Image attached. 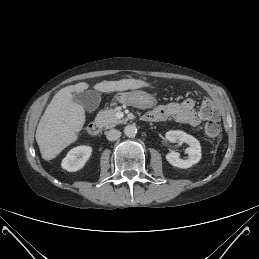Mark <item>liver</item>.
Masks as SVG:
<instances>
[{
  "mask_svg": "<svg viewBox=\"0 0 259 259\" xmlns=\"http://www.w3.org/2000/svg\"><path fill=\"white\" fill-rule=\"evenodd\" d=\"M149 86L143 80L122 79L104 81L94 85L100 92L124 91ZM89 87L80 82L62 88L48 104L36 130V142L44 160L56 158L62 150L78 138L77 134L85 123V110L73 100L72 92H83Z\"/></svg>",
  "mask_w": 259,
  "mask_h": 259,
  "instance_id": "6515ba94",
  "label": "liver"
}]
</instances>
